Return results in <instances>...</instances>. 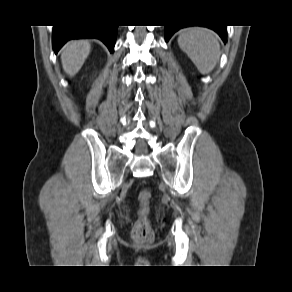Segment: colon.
Returning a JSON list of instances; mask_svg holds the SVG:
<instances>
[{
  "label": "colon",
  "instance_id": "1",
  "mask_svg": "<svg viewBox=\"0 0 292 292\" xmlns=\"http://www.w3.org/2000/svg\"><path fill=\"white\" fill-rule=\"evenodd\" d=\"M151 198L152 193L150 189L144 188L140 190L138 194V218L132 229V238L136 242H150L154 238V233L149 219Z\"/></svg>",
  "mask_w": 292,
  "mask_h": 292
}]
</instances>
